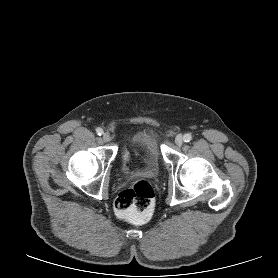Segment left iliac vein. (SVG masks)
I'll use <instances>...</instances> for the list:
<instances>
[{"mask_svg":"<svg viewBox=\"0 0 278 278\" xmlns=\"http://www.w3.org/2000/svg\"><path fill=\"white\" fill-rule=\"evenodd\" d=\"M175 144L177 146H181L183 144V136L182 135H177L175 138Z\"/></svg>","mask_w":278,"mask_h":278,"instance_id":"1","label":"left iliac vein"}]
</instances>
